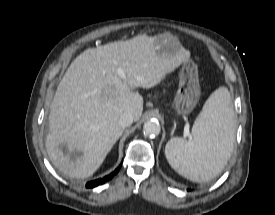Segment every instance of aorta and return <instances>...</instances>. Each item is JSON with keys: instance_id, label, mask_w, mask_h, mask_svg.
<instances>
[{"instance_id": "obj_1", "label": "aorta", "mask_w": 275, "mask_h": 215, "mask_svg": "<svg viewBox=\"0 0 275 215\" xmlns=\"http://www.w3.org/2000/svg\"><path fill=\"white\" fill-rule=\"evenodd\" d=\"M160 124L155 120H148L143 125V131L146 136H156L160 133Z\"/></svg>"}]
</instances>
